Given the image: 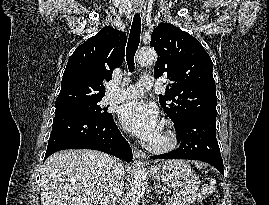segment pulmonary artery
<instances>
[{
  "label": "pulmonary artery",
  "instance_id": "pulmonary-artery-1",
  "mask_svg": "<svg viewBox=\"0 0 269 205\" xmlns=\"http://www.w3.org/2000/svg\"><path fill=\"white\" fill-rule=\"evenodd\" d=\"M152 86V77H142L140 78L138 84L126 88H120L114 84H111L108 93L103 98V103H119L127 100L137 99L145 90L150 89Z\"/></svg>",
  "mask_w": 269,
  "mask_h": 205
}]
</instances>
